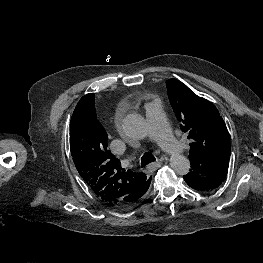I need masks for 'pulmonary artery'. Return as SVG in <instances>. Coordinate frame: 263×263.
Returning a JSON list of instances; mask_svg holds the SVG:
<instances>
[{
	"label": "pulmonary artery",
	"instance_id": "e3ab8cb5",
	"mask_svg": "<svg viewBox=\"0 0 263 263\" xmlns=\"http://www.w3.org/2000/svg\"><path fill=\"white\" fill-rule=\"evenodd\" d=\"M148 122V135L156 139L161 147L168 153H177L182 150L181 144L172 135L167 124L162 105L153 101L145 106Z\"/></svg>",
	"mask_w": 263,
	"mask_h": 263
}]
</instances>
